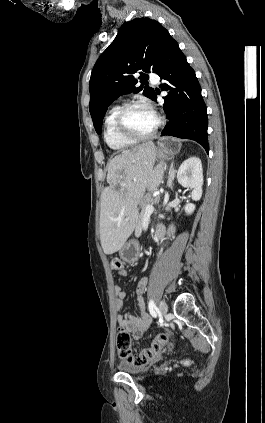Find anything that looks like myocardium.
<instances>
[{"label": "myocardium", "mask_w": 265, "mask_h": 423, "mask_svg": "<svg viewBox=\"0 0 265 423\" xmlns=\"http://www.w3.org/2000/svg\"><path fill=\"white\" fill-rule=\"evenodd\" d=\"M138 107H144V108H148L150 109L152 112H154L155 116H156V125L153 128V130L147 134L144 135H137L133 132H131L129 130V128L127 127L126 124V117L128 115V113L133 110L134 108H138ZM162 126V119L161 117L155 112V110L153 109V107L144 101H132L129 102L127 104H125L124 106H122V108L120 109V111L118 112L116 119H115V128L116 131L118 132V134L129 141L132 142H141V141H146L149 139H152L157 132L159 131L160 127Z\"/></svg>", "instance_id": "f54148a6"}]
</instances>
